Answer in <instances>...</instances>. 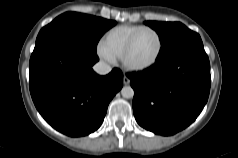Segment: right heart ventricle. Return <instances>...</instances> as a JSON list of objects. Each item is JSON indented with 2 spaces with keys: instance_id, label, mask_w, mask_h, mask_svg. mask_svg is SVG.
<instances>
[{
  "instance_id": "obj_1",
  "label": "right heart ventricle",
  "mask_w": 238,
  "mask_h": 158,
  "mask_svg": "<svg viewBox=\"0 0 238 158\" xmlns=\"http://www.w3.org/2000/svg\"><path fill=\"white\" fill-rule=\"evenodd\" d=\"M141 25H119L108 30L101 40V45L115 58H120L130 37Z\"/></svg>"
}]
</instances>
